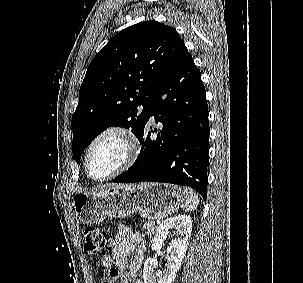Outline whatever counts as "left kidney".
Wrapping results in <instances>:
<instances>
[{
  "instance_id": "5707ae66",
  "label": "left kidney",
  "mask_w": 303,
  "mask_h": 283,
  "mask_svg": "<svg viewBox=\"0 0 303 283\" xmlns=\"http://www.w3.org/2000/svg\"><path fill=\"white\" fill-rule=\"evenodd\" d=\"M170 230L174 231L175 239L167 248L169 255L165 268L155 274L154 269L157 267L158 261L155 258H147L143 267L144 283H172L176 277L189 244L192 232L191 218L181 215L162 222L157 228L156 237L151 246L152 250H161Z\"/></svg>"
}]
</instances>
